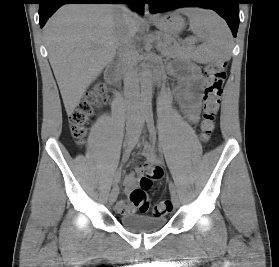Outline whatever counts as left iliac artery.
<instances>
[{"instance_id": "44dca946", "label": "left iliac artery", "mask_w": 279, "mask_h": 267, "mask_svg": "<svg viewBox=\"0 0 279 267\" xmlns=\"http://www.w3.org/2000/svg\"><path fill=\"white\" fill-rule=\"evenodd\" d=\"M146 122H147V127L150 133V136L153 141L156 140V132H155V127H154V120H153V114L151 112H148L146 114ZM169 190L171 194L176 193L175 186L172 181L169 182Z\"/></svg>"}]
</instances>
